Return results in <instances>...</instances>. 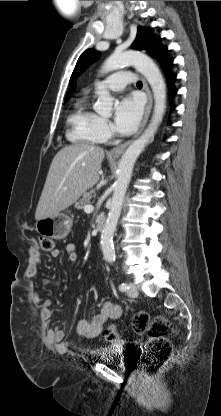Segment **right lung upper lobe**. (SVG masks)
I'll use <instances>...</instances> for the list:
<instances>
[{
	"label": "right lung upper lobe",
	"instance_id": "obj_1",
	"mask_svg": "<svg viewBox=\"0 0 221 416\" xmlns=\"http://www.w3.org/2000/svg\"><path fill=\"white\" fill-rule=\"evenodd\" d=\"M75 86H73L70 90H69V92H68V94H67V96H66V99L73 93V91H74V88Z\"/></svg>",
	"mask_w": 221,
	"mask_h": 416
}]
</instances>
